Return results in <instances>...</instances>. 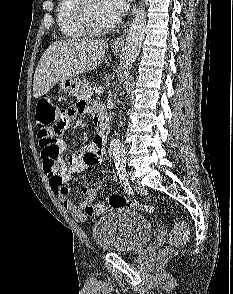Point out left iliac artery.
<instances>
[{"instance_id": "44dca946", "label": "left iliac artery", "mask_w": 233, "mask_h": 294, "mask_svg": "<svg viewBox=\"0 0 233 294\" xmlns=\"http://www.w3.org/2000/svg\"><path fill=\"white\" fill-rule=\"evenodd\" d=\"M117 175L119 177L120 182L123 184V178H126V163L116 164ZM129 193V191H126Z\"/></svg>"}]
</instances>
